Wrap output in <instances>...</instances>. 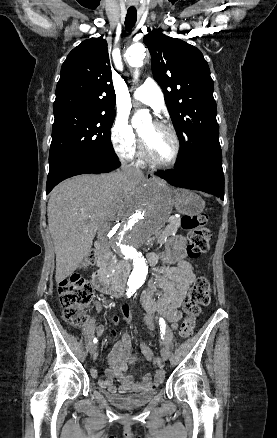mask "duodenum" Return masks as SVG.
Wrapping results in <instances>:
<instances>
[{
	"mask_svg": "<svg viewBox=\"0 0 277 438\" xmlns=\"http://www.w3.org/2000/svg\"><path fill=\"white\" fill-rule=\"evenodd\" d=\"M95 248L98 251V269L93 274V284L97 290L102 293L117 296L124 293L125 288L121 277L125 276L130 269V262L127 260L121 261L118 266V273L113 274L108 267L105 253L106 248L101 241L95 243ZM148 262L155 265L159 256L156 253H148L146 255Z\"/></svg>",
	"mask_w": 277,
	"mask_h": 438,
	"instance_id": "obj_1",
	"label": "duodenum"
}]
</instances>
